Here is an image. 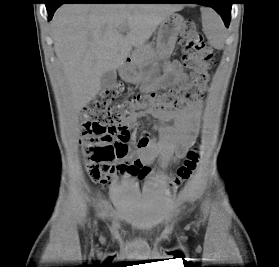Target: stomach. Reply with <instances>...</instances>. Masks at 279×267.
Returning <instances> with one entry per match:
<instances>
[{
	"instance_id": "obj_1",
	"label": "stomach",
	"mask_w": 279,
	"mask_h": 267,
	"mask_svg": "<svg viewBox=\"0 0 279 267\" xmlns=\"http://www.w3.org/2000/svg\"><path fill=\"white\" fill-rule=\"evenodd\" d=\"M184 19L181 15L172 13L168 15L160 24L157 34V58L146 61L138 67L125 65L120 70L121 78L131 84H141L153 82L159 73V62L169 59L178 35L183 32Z\"/></svg>"
}]
</instances>
